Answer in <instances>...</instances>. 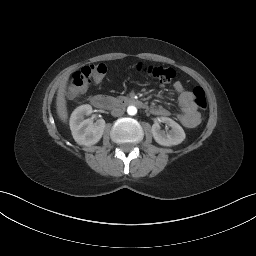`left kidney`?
I'll return each instance as SVG.
<instances>
[{"label": "left kidney", "instance_id": "1", "mask_svg": "<svg viewBox=\"0 0 256 256\" xmlns=\"http://www.w3.org/2000/svg\"><path fill=\"white\" fill-rule=\"evenodd\" d=\"M163 122L171 127L167 133L161 130L160 123ZM152 135L155 141L162 146H173L182 143L186 137L183 128L174 120L168 117H158L152 125Z\"/></svg>", "mask_w": 256, "mask_h": 256}]
</instances>
